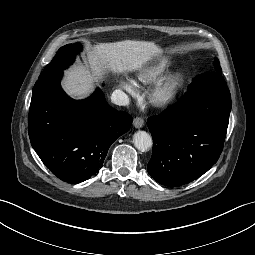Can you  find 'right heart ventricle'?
Wrapping results in <instances>:
<instances>
[{"label": "right heart ventricle", "mask_w": 255, "mask_h": 255, "mask_svg": "<svg viewBox=\"0 0 255 255\" xmlns=\"http://www.w3.org/2000/svg\"><path fill=\"white\" fill-rule=\"evenodd\" d=\"M170 62L161 59L151 66L146 67L138 75V79L143 83H153L160 79L170 68Z\"/></svg>", "instance_id": "e07e8e85"}]
</instances>
